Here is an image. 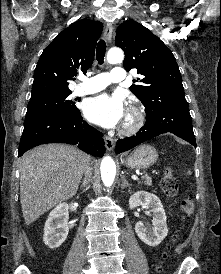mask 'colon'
Here are the masks:
<instances>
[{"instance_id": "obj_1", "label": "colon", "mask_w": 221, "mask_h": 274, "mask_svg": "<svg viewBox=\"0 0 221 274\" xmlns=\"http://www.w3.org/2000/svg\"><path fill=\"white\" fill-rule=\"evenodd\" d=\"M161 189L166 196L173 197L177 194L178 191V183L173 175L171 169H166L164 172V176L161 180ZM194 212V204L191 199L186 198L181 201V213L182 218L188 220L191 218ZM158 271H162V265L158 266Z\"/></svg>"}]
</instances>
